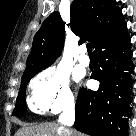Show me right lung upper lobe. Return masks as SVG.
I'll list each match as a JSON object with an SVG mask.
<instances>
[{"instance_id":"right-lung-upper-lobe-1","label":"right lung upper lobe","mask_w":136,"mask_h":136,"mask_svg":"<svg viewBox=\"0 0 136 136\" xmlns=\"http://www.w3.org/2000/svg\"><path fill=\"white\" fill-rule=\"evenodd\" d=\"M70 16L71 29L80 37L79 43L88 40L95 51L101 45L127 34L122 11L115 0H74ZM64 26L58 12H53L44 20L34 36L22 79L45 69L60 55L64 44Z\"/></svg>"}]
</instances>
